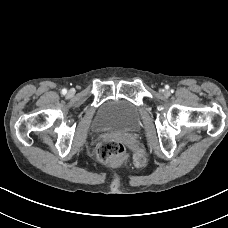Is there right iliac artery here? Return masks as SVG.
Wrapping results in <instances>:
<instances>
[{
    "label": "right iliac artery",
    "instance_id": "82829eb1",
    "mask_svg": "<svg viewBox=\"0 0 228 228\" xmlns=\"http://www.w3.org/2000/svg\"><path fill=\"white\" fill-rule=\"evenodd\" d=\"M61 93L63 94V95H65L66 93H67V89H62V91H61Z\"/></svg>",
    "mask_w": 228,
    "mask_h": 228
}]
</instances>
